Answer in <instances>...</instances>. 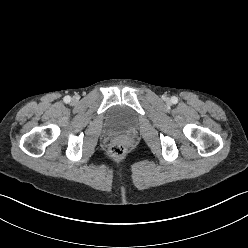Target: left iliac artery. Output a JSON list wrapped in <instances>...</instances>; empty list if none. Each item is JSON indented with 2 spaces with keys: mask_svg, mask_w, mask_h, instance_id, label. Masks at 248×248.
Masks as SVG:
<instances>
[{
  "mask_svg": "<svg viewBox=\"0 0 248 248\" xmlns=\"http://www.w3.org/2000/svg\"><path fill=\"white\" fill-rule=\"evenodd\" d=\"M171 101H172V103L176 104V103L178 102V98L175 97V96H173V97L171 98Z\"/></svg>",
  "mask_w": 248,
  "mask_h": 248,
  "instance_id": "44dca946",
  "label": "left iliac artery"
}]
</instances>
